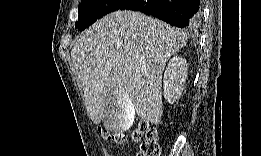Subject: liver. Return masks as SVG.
I'll list each match as a JSON object with an SVG mask.
<instances>
[{
  "instance_id": "1",
  "label": "liver",
  "mask_w": 261,
  "mask_h": 156,
  "mask_svg": "<svg viewBox=\"0 0 261 156\" xmlns=\"http://www.w3.org/2000/svg\"><path fill=\"white\" fill-rule=\"evenodd\" d=\"M186 43L182 30L134 11L110 13L79 34L71 58L91 120L99 124L106 103L115 99L127 110L112 131L128 130L135 113L160 124L162 73Z\"/></svg>"
}]
</instances>
